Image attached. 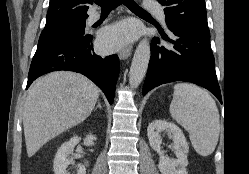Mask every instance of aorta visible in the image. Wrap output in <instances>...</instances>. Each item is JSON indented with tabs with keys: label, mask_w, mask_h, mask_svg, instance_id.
I'll use <instances>...</instances> for the list:
<instances>
[{
	"label": "aorta",
	"mask_w": 249,
	"mask_h": 174,
	"mask_svg": "<svg viewBox=\"0 0 249 174\" xmlns=\"http://www.w3.org/2000/svg\"><path fill=\"white\" fill-rule=\"evenodd\" d=\"M150 56V43L148 39H142L135 50L129 71V84L131 88H137L145 77Z\"/></svg>",
	"instance_id": "762f6f07"
}]
</instances>
